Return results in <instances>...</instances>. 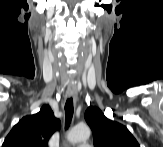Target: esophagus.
Listing matches in <instances>:
<instances>
[{"label":"esophagus","instance_id":"esophagus-1","mask_svg":"<svg viewBox=\"0 0 163 147\" xmlns=\"http://www.w3.org/2000/svg\"><path fill=\"white\" fill-rule=\"evenodd\" d=\"M67 95L72 97L73 100L76 102L78 99L77 89L74 84H69L67 88Z\"/></svg>","mask_w":163,"mask_h":147}]
</instances>
